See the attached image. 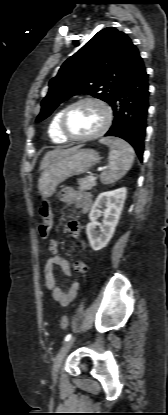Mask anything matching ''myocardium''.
Listing matches in <instances>:
<instances>
[{"label":"myocardium","mask_w":168,"mask_h":415,"mask_svg":"<svg viewBox=\"0 0 168 415\" xmlns=\"http://www.w3.org/2000/svg\"><path fill=\"white\" fill-rule=\"evenodd\" d=\"M86 102L95 103L102 108L104 112V122L101 128L93 134L86 135V136H75L72 133H70V131L67 128V117H68L69 112L75 106L82 104V103H86ZM111 123H112V111L110 107L103 100L96 98V97H83L72 102L71 104H69L67 107L63 109V112L60 117L59 128H60L62 135L68 140L75 141V142H84V141H90V140L97 139L101 137L102 135H104L109 129Z\"/></svg>","instance_id":"myocardium-1"}]
</instances>
